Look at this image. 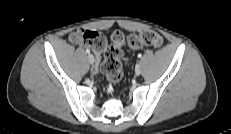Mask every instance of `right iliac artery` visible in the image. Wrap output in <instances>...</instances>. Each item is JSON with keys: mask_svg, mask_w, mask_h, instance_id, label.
<instances>
[{"mask_svg": "<svg viewBox=\"0 0 231 134\" xmlns=\"http://www.w3.org/2000/svg\"><path fill=\"white\" fill-rule=\"evenodd\" d=\"M86 53H88V54H89V53H90V50H89V49H86Z\"/></svg>", "mask_w": 231, "mask_h": 134, "instance_id": "1", "label": "right iliac artery"}]
</instances>
